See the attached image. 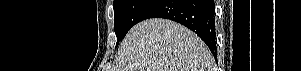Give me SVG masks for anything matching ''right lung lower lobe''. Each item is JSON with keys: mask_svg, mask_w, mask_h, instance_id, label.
<instances>
[{"mask_svg": "<svg viewBox=\"0 0 301 71\" xmlns=\"http://www.w3.org/2000/svg\"><path fill=\"white\" fill-rule=\"evenodd\" d=\"M156 17L173 20L191 29L217 59L213 0H155L141 15L140 21Z\"/></svg>", "mask_w": 301, "mask_h": 71, "instance_id": "right-lung-lower-lobe-1", "label": "right lung lower lobe"}]
</instances>
